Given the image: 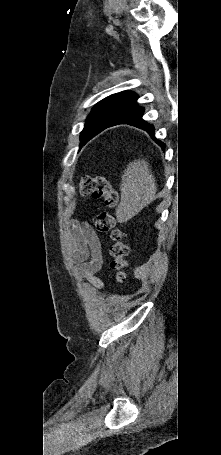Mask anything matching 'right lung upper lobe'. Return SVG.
Wrapping results in <instances>:
<instances>
[{
	"instance_id": "obj_1",
	"label": "right lung upper lobe",
	"mask_w": 221,
	"mask_h": 455,
	"mask_svg": "<svg viewBox=\"0 0 221 455\" xmlns=\"http://www.w3.org/2000/svg\"><path fill=\"white\" fill-rule=\"evenodd\" d=\"M137 98L138 96L135 93L125 91L111 95L100 101L97 105L112 106L128 112L137 106Z\"/></svg>"
}]
</instances>
